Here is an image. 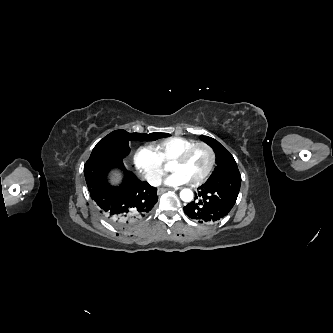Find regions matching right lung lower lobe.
Wrapping results in <instances>:
<instances>
[{
  "mask_svg": "<svg viewBox=\"0 0 333 333\" xmlns=\"http://www.w3.org/2000/svg\"><path fill=\"white\" fill-rule=\"evenodd\" d=\"M113 168L124 171L125 176L119 187L111 186L107 180V175ZM84 175L98 210L117 227L130 226L140 220L158 200L157 188L140 181L134 173L127 171L121 159L89 158L84 165Z\"/></svg>",
  "mask_w": 333,
  "mask_h": 333,
  "instance_id": "right-lung-lower-lobe-1",
  "label": "right lung lower lobe"
}]
</instances>
